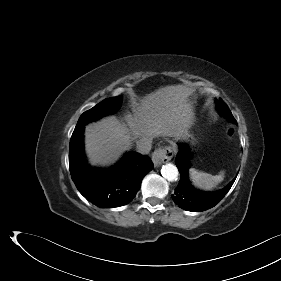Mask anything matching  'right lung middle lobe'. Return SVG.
<instances>
[{
  "mask_svg": "<svg viewBox=\"0 0 281 281\" xmlns=\"http://www.w3.org/2000/svg\"><path fill=\"white\" fill-rule=\"evenodd\" d=\"M123 96H117L112 98H107L91 108L90 110L84 112L76 125V128L85 126L87 123L91 121H95L102 116L113 113L116 109H118L122 103Z\"/></svg>",
  "mask_w": 281,
  "mask_h": 281,
  "instance_id": "dd1d6c3e",
  "label": "right lung middle lobe"
}]
</instances>
